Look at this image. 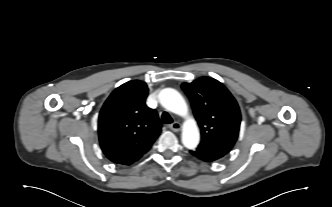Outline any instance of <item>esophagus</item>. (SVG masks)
Here are the masks:
<instances>
[{"label": "esophagus", "mask_w": 332, "mask_h": 207, "mask_svg": "<svg viewBox=\"0 0 332 207\" xmlns=\"http://www.w3.org/2000/svg\"><path fill=\"white\" fill-rule=\"evenodd\" d=\"M169 128L174 132H178L181 128V125H180L179 122H174V123L169 125Z\"/></svg>", "instance_id": "esophagus-1"}]
</instances>
